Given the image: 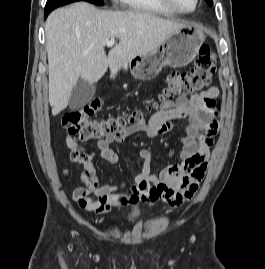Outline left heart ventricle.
Segmentation results:
<instances>
[{"label":"left heart ventricle","instance_id":"1","mask_svg":"<svg viewBox=\"0 0 265 269\" xmlns=\"http://www.w3.org/2000/svg\"><path fill=\"white\" fill-rule=\"evenodd\" d=\"M172 1L176 6L184 10H191L195 4V0H172Z\"/></svg>","mask_w":265,"mask_h":269}]
</instances>
